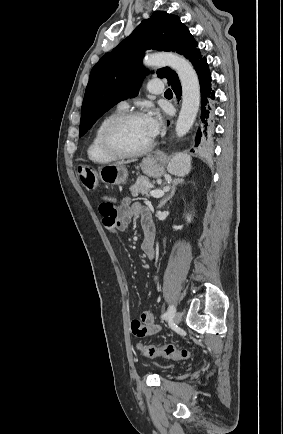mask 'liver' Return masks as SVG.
<instances>
[{
  "instance_id": "1",
  "label": "liver",
  "mask_w": 283,
  "mask_h": 434,
  "mask_svg": "<svg viewBox=\"0 0 283 434\" xmlns=\"http://www.w3.org/2000/svg\"><path fill=\"white\" fill-rule=\"evenodd\" d=\"M127 163H129V161H122V162H118V163H116V164H127Z\"/></svg>"
}]
</instances>
